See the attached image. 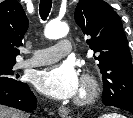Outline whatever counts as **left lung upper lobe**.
Listing matches in <instances>:
<instances>
[{"label": "left lung upper lobe", "mask_w": 133, "mask_h": 118, "mask_svg": "<svg viewBox=\"0 0 133 118\" xmlns=\"http://www.w3.org/2000/svg\"><path fill=\"white\" fill-rule=\"evenodd\" d=\"M75 21L99 61L103 103L133 113V65L118 14L103 0H79Z\"/></svg>", "instance_id": "5c2ea615"}]
</instances>
